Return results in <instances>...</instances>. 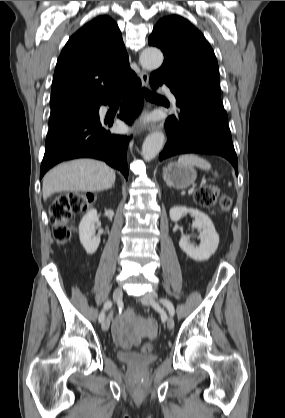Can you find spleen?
Segmentation results:
<instances>
[{"label": "spleen", "mask_w": 285, "mask_h": 418, "mask_svg": "<svg viewBox=\"0 0 285 418\" xmlns=\"http://www.w3.org/2000/svg\"><path fill=\"white\" fill-rule=\"evenodd\" d=\"M178 164L182 166H196L205 171H209L211 169V164L207 160L195 154L181 155L178 159Z\"/></svg>", "instance_id": "1"}]
</instances>
